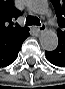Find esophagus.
<instances>
[{"instance_id":"obj_1","label":"esophagus","mask_w":65,"mask_h":89,"mask_svg":"<svg viewBox=\"0 0 65 89\" xmlns=\"http://www.w3.org/2000/svg\"><path fill=\"white\" fill-rule=\"evenodd\" d=\"M35 29L38 33H43L46 30V25L42 24L40 26H36Z\"/></svg>"}]
</instances>
